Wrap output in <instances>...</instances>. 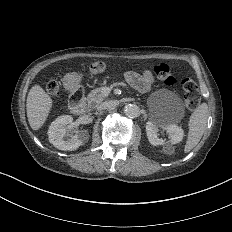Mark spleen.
Wrapping results in <instances>:
<instances>
[{"mask_svg": "<svg viewBox=\"0 0 232 232\" xmlns=\"http://www.w3.org/2000/svg\"><path fill=\"white\" fill-rule=\"evenodd\" d=\"M208 104L203 102L192 112L188 121L187 141L184 152L189 153L200 142L208 122Z\"/></svg>", "mask_w": 232, "mask_h": 232, "instance_id": "3e777b00", "label": "spleen"}]
</instances>
